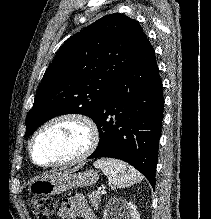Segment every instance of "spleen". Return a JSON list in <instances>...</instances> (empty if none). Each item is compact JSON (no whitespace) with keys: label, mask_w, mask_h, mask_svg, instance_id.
<instances>
[{"label":"spleen","mask_w":211,"mask_h":219,"mask_svg":"<svg viewBox=\"0 0 211 219\" xmlns=\"http://www.w3.org/2000/svg\"><path fill=\"white\" fill-rule=\"evenodd\" d=\"M117 188H125L142 180V175L132 166L115 159H99L94 162Z\"/></svg>","instance_id":"1"}]
</instances>
